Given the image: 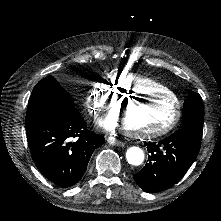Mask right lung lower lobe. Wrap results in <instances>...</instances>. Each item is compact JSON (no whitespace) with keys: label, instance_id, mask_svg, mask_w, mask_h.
<instances>
[{"label":"right lung lower lobe","instance_id":"right-lung-lower-lobe-1","mask_svg":"<svg viewBox=\"0 0 221 221\" xmlns=\"http://www.w3.org/2000/svg\"><path fill=\"white\" fill-rule=\"evenodd\" d=\"M26 130L37 168L63 188L82 178L93 151L105 141L104 137L87 129L81 114L69 119L39 122Z\"/></svg>","mask_w":221,"mask_h":221}]
</instances>
